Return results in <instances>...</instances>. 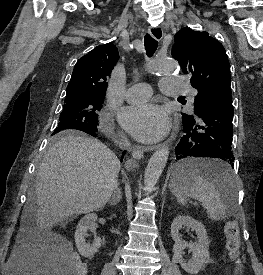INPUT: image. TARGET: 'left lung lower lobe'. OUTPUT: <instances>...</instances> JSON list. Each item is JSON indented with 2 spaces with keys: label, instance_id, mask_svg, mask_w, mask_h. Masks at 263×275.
<instances>
[{
  "label": "left lung lower lobe",
  "instance_id": "1",
  "mask_svg": "<svg viewBox=\"0 0 263 275\" xmlns=\"http://www.w3.org/2000/svg\"><path fill=\"white\" fill-rule=\"evenodd\" d=\"M196 114L198 122L195 119L182 120L183 134L175 148V158H219L224 160L229 168L230 165L233 166L235 158L231 150L234 114L232 95H219L206 103ZM202 174L216 182L223 171L203 169Z\"/></svg>",
  "mask_w": 263,
  "mask_h": 275
}]
</instances>
